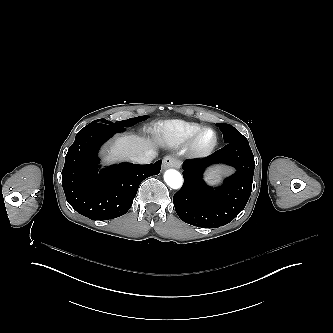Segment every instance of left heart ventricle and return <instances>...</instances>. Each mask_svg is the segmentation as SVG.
<instances>
[{"instance_id": "1", "label": "left heart ventricle", "mask_w": 333, "mask_h": 333, "mask_svg": "<svg viewBox=\"0 0 333 333\" xmlns=\"http://www.w3.org/2000/svg\"><path fill=\"white\" fill-rule=\"evenodd\" d=\"M214 136L211 131H205L201 134L198 140L199 147H207L213 142Z\"/></svg>"}]
</instances>
